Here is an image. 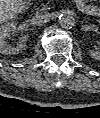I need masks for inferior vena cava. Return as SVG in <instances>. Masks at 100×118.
<instances>
[{"mask_svg": "<svg viewBox=\"0 0 100 118\" xmlns=\"http://www.w3.org/2000/svg\"><path fill=\"white\" fill-rule=\"evenodd\" d=\"M49 20H50V16L47 13H37L33 18V22L37 25L45 24Z\"/></svg>", "mask_w": 100, "mask_h": 118, "instance_id": "inferior-vena-cava-1", "label": "inferior vena cava"}]
</instances>
